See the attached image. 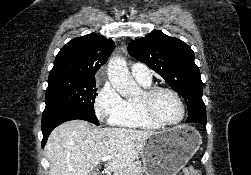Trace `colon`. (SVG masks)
<instances>
[{
  "label": "colon",
  "mask_w": 251,
  "mask_h": 175,
  "mask_svg": "<svg viewBox=\"0 0 251 175\" xmlns=\"http://www.w3.org/2000/svg\"><path fill=\"white\" fill-rule=\"evenodd\" d=\"M182 175H201L200 172L191 165H186L182 170Z\"/></svg>",
  "instance_id": "1"
}]
</instances>
